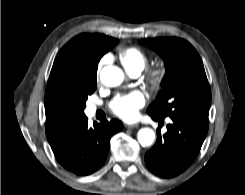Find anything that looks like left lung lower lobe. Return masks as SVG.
<instances>
[{
	"mask_svg": "<svg viewBox=\"0 0 245 195\" xmlns=\"http://www.w3.org/2000/svg\"><path fill=\"white\" fill-rule=\"evenodd\" d=\"M153 120H160L151 116ZM167 133L157 131L155 145L145 154L148 169L163 178H171L186 170L197 157L206 137L209 123L171 118Z\"/></svg>",
	"mask_w": 245,
	"mask_h": 195,
	"instance_id": "0a47b994",
	"label": "left lung lower lobe"
}]
</instances>
